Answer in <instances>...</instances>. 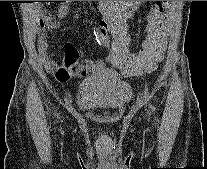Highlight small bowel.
<instances>
[{"label": "small bowel", "mask_w": 207, "mask_h": 169, "mask_svg": "<svg viewBox=\"0 0 207 169\" xmlns=\"http://www.w3.org/2000/svg\"><path fill=\"white\" fill-rule=\"evenodd\" d=\"M73 1H61L58 11L50 14L42 11L38 20V50L46 69L53 73L58 81L66 82L69 79L77 76H85L90 72L97 71L103 67L102 62H93L87 59L79 58L77 48L71 43H67L64 51V58L62 62L57 63L49 53V42L46 37V30L52 29L56 26L67 13V4ZM140 1H130L122 9H119L112 4V1H100V9L105 16L101 22V38L100 44L108 45L109 36H113L112 44H118L122 41L128 42V37L125 32V22L134 14L135 5ZM114 50V49H113ZM108 60L117 65L114 56H110ZM153 69H146L145 72H151Z\"/></svg>", "instance_id": "obj_1"}]
</instances>
